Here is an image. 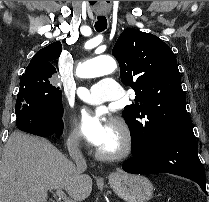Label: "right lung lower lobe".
I'll list each match as a JSON object with an SVG mask.
<instances>
[{"instance_id":"98d812e1","label":"right lung lower lobe","mask_w":209,"mask_h":202,"mask_svg":"<svg viewBox=\"0 0 209 202\" xmlns=\"http://www.w3.org/2000/svg\"><path fill=\"white\" fill-rule=\"evenodd\" d=\"M17 127L27 133L47 137L56 134L59 137L63 130L62 116L54 117L37 111H25L17 115Z\"/></svg>"}]
</instances>
